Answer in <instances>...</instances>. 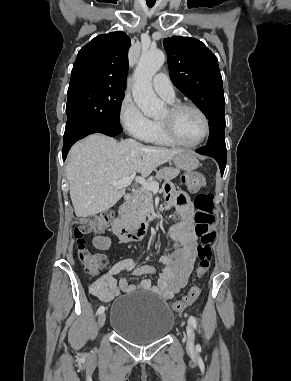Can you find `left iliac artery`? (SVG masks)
Segmentation results:
<instances>
[{
    "label": "left iliac artery",
    "mask_w": 291,
    "mask_h": 381,
    "mask_svg": "<svg viewBox=\"0 0 291 381\" xmlns=\"http://www.w3.org/2000/svg\"><path fill=\"white\" fill-rule=\"evenodd\" d=\"M189 322L191 323V325L193 326L194 329H197V321H196V318L193 317V316H190L189 317ZM199 346V345H198Z\"/></svg>",
    "instance_id": "left-iliac-artery-1"
}]
</instances>
